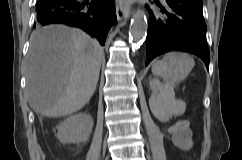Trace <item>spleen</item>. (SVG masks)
Segmentation results:
<instances>
[{"instance_id":"1","label":"spleen","mask_w":242,"mask_h":160,"mask_svg":"<svg viewBox=\"0 0 242 160\" xmlns=\"http://www.w3.org/2000/svg\"><path fill=\"white\" fill-rule=\"evenodd\" d=\"M179 69H181V65L178 64L175 53H169L165 55L162 60L156 61L152 65V73L155 76L164 77L166 81L161 83L158 79H154L150 82V86L154 91L159 92L156 97L158 102L165 105L167 110L172 114L175 113L177 109L174 93V83L178 81V79L173 76L172 73Z\"/></svg>"}]
</instances>
